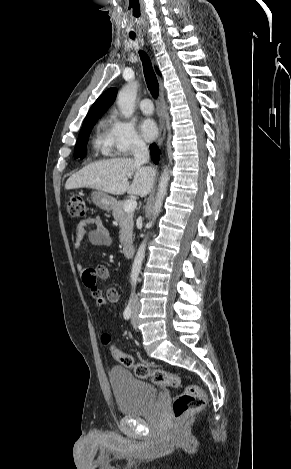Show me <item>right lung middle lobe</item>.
I'll use <instances>...</instances> for the list:
<instances>
[{"instance_id": "dd1d6c3e", "label": "right lung middle lobe", "mask_w": 291, "mask_h": 469, "mask_svg": "<svg viewBox=\"0 0 291 469\" xmlns=\"http://www.w3.org/2000/svg\"><path fill=\"white\" fill-rule=\"evenodd\" d=\"M98 118H88L84 120L83 126L79 133L78 140L76 142L74 157L83 159L86 155V141L90 134L91 129L95 125Z\"/></svg>"}]
</instances>
